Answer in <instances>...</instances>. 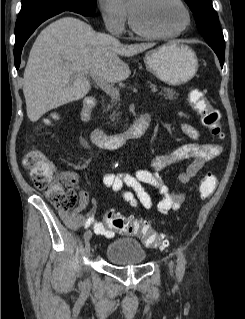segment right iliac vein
Masks as SVG:
<instances>
[{
    "mask_svg": "<svg viewBox=\"0 0 245 319\" xmlns=\"http://www.w3.org/2000/svg\"><path fill=\"white\" fill-rule=\"evenodd\" d=\"M92 236V233L91 231H87L84 235V240H85V255L88 257L89 254H90V245H89V241H90V238Z\"/></svg>",
    "mask_w": 245,
    "mask_h": 319,
    "instance_id": "1",
    "label": "right iliac vein"
}]
</instances>
